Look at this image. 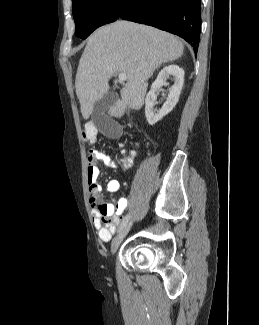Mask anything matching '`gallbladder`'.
Returning <instances> with one entry per match:
<instances>
[{
    "mask_svg": "<svg viewBox=\"0 0 259 325\" xmlns=\"http://www.w3.org/2000/svg\"><path fill=\"white\" fill-rule=\"evenodd\" d=\"M118 100V94L114 91L107 92L101 99L97 100L93 106L92 119L102 132V136L109 139H120V125L118 121H112L110 115L105 112Z\"/></svg>",
    "mask_w": 259,
    "mask_h": 325,
    "instance_id": "obj_1",
    "label": "gallbladder"
}]
</instances>
